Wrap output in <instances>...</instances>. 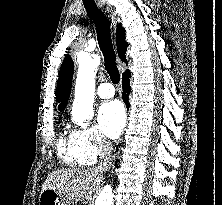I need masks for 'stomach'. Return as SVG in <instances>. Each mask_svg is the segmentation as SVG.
Listing matches in <instances>:
<instances>
[{"mask_svg":"<svg viewBox=\"0 0 222 205\" xmlns=\"http://www.w3.org/2000/svg\"><path fill=\"white\" fill-rule=\"evenodd\" d=\"M39 205H68V201L62 194L47 189L41 192Z\"/></svg>","mask_w":222,"mask_h":205,"instance_id":"stomach-1","label":"stomach"}]
</instances>
